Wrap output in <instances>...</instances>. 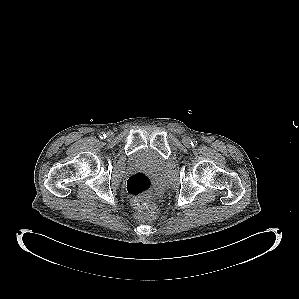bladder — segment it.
<instances>
[{"instance_id": "1", "label": "bladder", "mask_w": 299, "mask_h": 299, "mask_svg": "<svg viewBox=\"0 0 299 299\" xmlns=\"http://www.w3.org/2000/svg\"><path fill=\"white\" fill-rule=\"evenodd\" d=\"M165 161L160 155L148 147H142L131 153L125 163V167L138 165L161 166Z\"/></svg>"}]
</instances>
